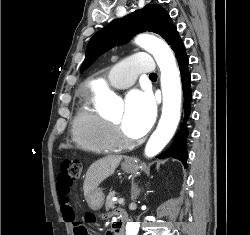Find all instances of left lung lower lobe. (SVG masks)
<instances>
[{"mask_svg": "<svg viewBox=\"0 0 250 235\" xmlns=\"http://www.w3.org/2000/svg\"><path fill=\"white\" fill-rule=\"evenodd\" d=\"M171 48L175 52L182 80L183 94H184V112L185 118L180 130L174 138L172 146L163 153L159 158L173 157L179 159L185 167H187V150H186V138L188 131L185 126V122L190 114V102H191V88H190V74L188 72V57L185 52V47L177 34L171 43Z\"/></svg>", "mask_w": 250, "mask_h": 235, "instance_id": "0a47b994", "label": "left lung lower lobe"}]
</instances>
